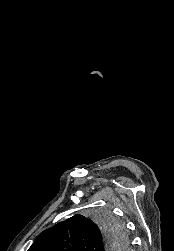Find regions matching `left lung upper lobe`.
Masks as SVG:
<instances>
[{"mask_svg":"<svg viewBox=\"0 0 174 251\" xmlns=\"http://www.w3.org/2000/svg\"><path fill=\"white\" fill-rule=\"evenodd\" d=\"M127 246L124 227L109 216L74 215L43 231L28 251H123Z\"/></svg>","mask_w":174,"mask_h":251,"instance_id":"left-lung-upper-lobe-1","label":"left lung upper lobe"}]
</instances>
